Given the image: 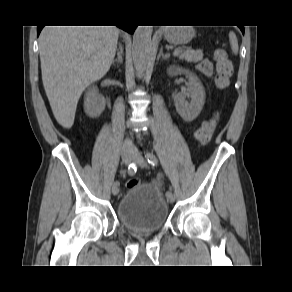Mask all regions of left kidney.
<instances>
[{
  "label": "left kidney",
  "instance_id": "left-kidney-1",
  "mask_svg": "<svg viewBox=\"0 0 292 292\" xmlns=\"http://www.w3.org/2000/svg\"><path fill=\"white\" fill-rule=\"evenodd\" d=\"M184 73L187 75L189 83L187 90L177 93L174 97L175 107L177 113L186 122H191L200 114L203 105L205 103V91L196 75L189 70H185L179 67L171 66L168 69V74L171 76ZM186 98H190L187 101Z\"/></svg>",
  "mask_w": 292,
  "mask_h": 292
}]
</instances>
